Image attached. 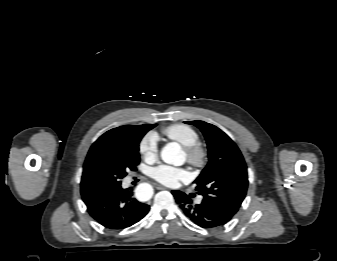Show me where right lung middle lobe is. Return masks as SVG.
I'll list each match as a JSON object with an SVG mask.
<instances>
[{"mask_svg":"<svg viewBox=\"0 0 337 261\" xmlns=\"http://www.w3.org/2000/svg\"><path fill=\"white\" fill-rule=\"evenodd\" d=\"M143 136L144 133H141L128 140L99 142L91 146L81 179L84 201H92L120 185L128 169L136 170L140 161L139 143Z\"/></svg>","mask_w":337,"mask_h":261,"instance_id":"1","label":"right lung middle lobe"}]
</instances>
